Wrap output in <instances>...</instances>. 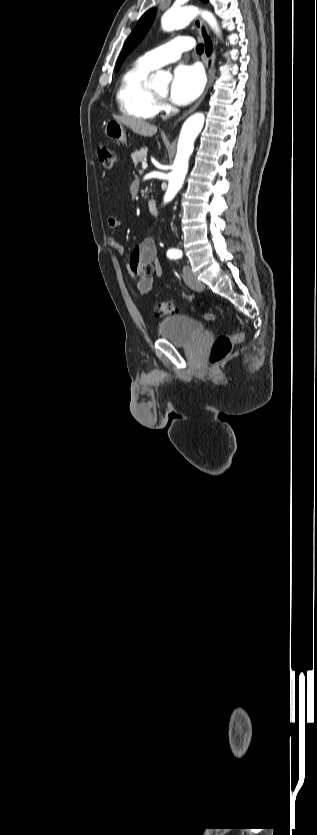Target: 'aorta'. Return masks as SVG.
Segmentation results:
<instances>
[{
  "instance_id": "1",
  "label": "aorta",
  "mask_w": 317,
  "mask_h": 835,
  "mask_svg": "<svg viewBox=\"0 0 317 835\" xmlns=\"http://www.w3.org/2000/svg\"><path fill=\"white\" fill-rule=\"evenodd\" d=\"M198 13L202 15L217 34L220 33L219 25L214 15L208 11H200L193 6L171 7L166 10L161 16L162 28L170 31L181 25H188ZM171 77L169 73L158 71L151 75L150 84L153 87L161 80L169 82ZM204 123L205 116L203 113H196L184 122L179 135L176 157L168 179V188L164 196V203L171 201L181 189L188 172L189 158L194 150L195 139L202 131Z\"/></svg>"
}]
</instances>
